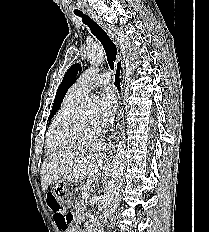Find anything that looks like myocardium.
Returning a JSON list of instances; mask_svg holds the SVG:
<instances>
[{"instance_id": "myocardium-1", "label": "myocardium", "mask_w": 209, "mask_h": 232, "mask_svg": "<svg viewBox=\"0 0 209 232\" xmlns=\"http://www.w3.org/2000/svg\"><path fill=\"white\" fill-rule=\"evenodd\" d=\"M82 107L78 106L70 112L58 127V134L68 141H81L95 137L99 132V126L94 129H87L82 123Z\"/></svg>"}]
</instances>
